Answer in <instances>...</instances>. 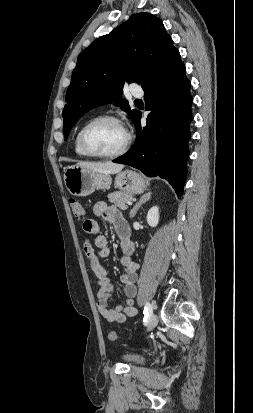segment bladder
Masks as SVG:
<instances>
[{
	"mask_svg": "<svg viewBox=\"0 0 253 413\" xmlns=\"http://www.w3.org/2000/svg\"><path fill=\"white\" fill-rule=\"evenodd\" d=\"M122 358L131 365H144L147 362V358L141 354L136 353H124Z\"/></svg>",
	"mask_w": 253,
	"mask_h": 413,
	"instance_id": "31cf9c89",
	"label": "bladder"
}]
</instances>
